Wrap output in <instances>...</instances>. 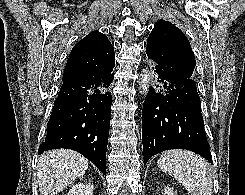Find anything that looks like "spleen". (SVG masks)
Wrapping results in <instances>:
<instances>
[{"instance_id":"obj_1","label":"spleen","mask_w":245,"mask_h":195,"mask_svg":"<svg viewBox=\"0 0 245 195\" xmlns=\"http://www.w3.org/2000/svg\"><path fill=\"white\" fill-rule=\"evenodd\" d=\"M157 165L172 175L190 195H211L213 176L208 162L186 150H170L161 154Z\"/></svg>"}]
</instances>
